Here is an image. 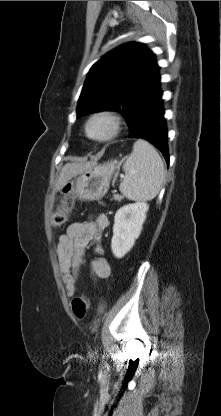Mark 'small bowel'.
Wrapping results in <instances>:
<instances>
[{
    "mask_svg": "<svg viewBox=\"0 0 221 416\" xmlns=\"http://www.w3.org/2000/svg\"><path fill=\"white\" fill-rule=\"evenodd\" d=\"M108 224L109 220L105 214H97L90 220L71 223L59 236L57 259L68 296H73L77 291L85 250L91 242L94 243V257L90 261L91 275L96 279L109 277L110 265L101 246L102 233Z\"/></svg>",
    "mask_w": 221,
    "mask_h": 416,
    "instance_id": "1",
    "label": "small bowel"
}]
</instances>
